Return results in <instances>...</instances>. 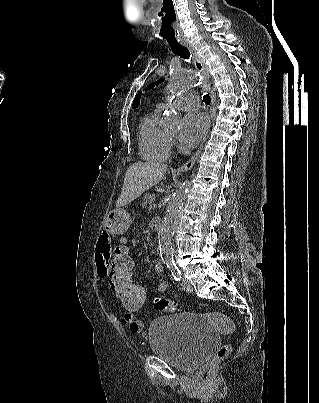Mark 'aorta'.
<instances>
[{
    "label": "aorta",
    "mask_w": 319,
    "mask_h": 403,
    "mask_svg": "<svg viewBox=\"0 0 319 403\" xmlns=\"http://www.w3.org/2000/svg\"><path fill=\"white\" fill-rule=\"evenodd\" d=\"M203 82L204 80L195 74L175 69L171 72L168 81V99L172 100L179 92L189 87L200 85ZM168 119L172 122H177L178 116L175 112H171ZM189 188L190 182L185 181L173 194L158 234L160 255L166 259H170L173 254L172 236L175 232L179 213L187 197Z\"/></svg>",
    "instance_id": "obj_1"
}]
</instances>
